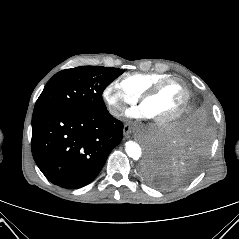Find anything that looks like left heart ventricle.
I'll list each match as a JSON object with an SVG mask.
<instances>
[{
    "instance_id": "b2bd125f",
    "label": "left heart ventricle",
    "mask_w": 239,
    "mask_h": 239,
    "mask_svg": "<svg viewBox=\"0 0 239 239\" xmlns=\"http://www.w3.org/2000/svg\"><path fill=\"white\" fill-rule=\"evenodd\" d=\"M185 99V91L179 83H170L156 95L146 99L142 105L150 118L161 119L176 113Z\"/></svg>"
}]
</instances>
